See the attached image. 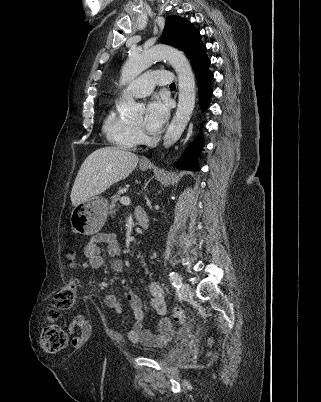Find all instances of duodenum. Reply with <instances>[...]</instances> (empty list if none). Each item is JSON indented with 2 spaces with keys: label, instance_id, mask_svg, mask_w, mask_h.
I'll return each mask as SVG.
<instances>
[{
  "label": "duodenum",
  "instance_id": "410a0bca",
  "mask_svg": "<svg viewBox=\"0 0 321 402\" xmlns=\"http://www.w3.org/2000/svg\"><path fill=\"white\" fill-rule=\"evenodd\" d=\"M135 219L142 230L148 227V215L145 210L138 208L135 211Z\"/></svg>",
  "mask_w": 321,
  "mask_h": 402
}]
</instances>
